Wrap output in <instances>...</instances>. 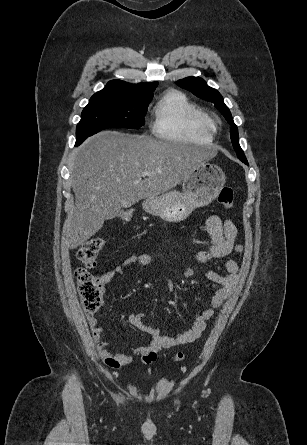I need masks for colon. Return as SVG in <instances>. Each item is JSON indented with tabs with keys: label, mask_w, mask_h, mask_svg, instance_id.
I'll use <instances>...</instances> for the list:
<instances>
[{
	"label": "colon",
	"mask_w": 307,
	"mask_h": 445,
	"mask_svg": "<svg viewBox=\"0 0 307 445\" xmlns=\"http://www.w3.org/2000/svg\"><path fill=\"white\" fill-rule=\"evenodd\" d=\"M233 190L230 187H223L218 195V202L229 209L233 205ZM120 218L128 222L132 218L129 211L122 212ZM105 245V239L102 237H93L86 241L77 252V258L83 264V268L76 271L77 285L81 302L85 312L88 315H94L102 305L103 285L100 279L91 274L88 270L97 266V257ZM176 360H183L184 355L177 353Z\"/></svg>",
	"instance_id": "colon-1"
}]
</instances>
